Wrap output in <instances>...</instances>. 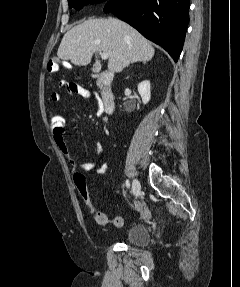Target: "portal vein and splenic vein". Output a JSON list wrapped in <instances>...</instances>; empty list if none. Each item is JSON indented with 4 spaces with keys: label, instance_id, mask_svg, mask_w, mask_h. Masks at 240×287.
<instances>
[{
    "label": "portal vein and splenic vein",
    "instance_id": "obj_1",
    "mask_svg": "<svg viewBox=\"0 0 240 287\" xmlns=\"http://www.w3.org/2000/svg\"><path fill=\"white\" fill-rule=\"evenodd\" d=\"M101 58L104 60L108 59V53L105 52L101 53Z\"/></svg>",
    "mask_w": 240,
    "mask_h": 287
}]
</instances>
